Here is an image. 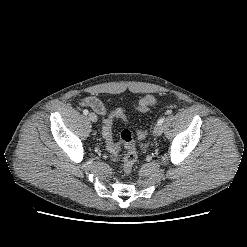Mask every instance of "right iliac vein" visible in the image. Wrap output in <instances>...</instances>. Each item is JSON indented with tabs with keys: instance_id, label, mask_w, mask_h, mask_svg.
I'll return each mask as SVG.
<instances>
[{
	"instance_id": "obj_1",
	"label": "right iliac vein",
	"mask_w": 247,
	"mask_h": 247,
	"mask_svg": "<svg viewBox=\"0 0 247 247\" xmlns=\"http://www.w3.org/2000/svg\"><path fill=\"white\" fill-rule=\"evenodd\" d=\"M88 118H89V120H91L92 122H96V121H97V116H96V114L93 113V112L89 113Z\"/></svg>"
}]
</instances>
